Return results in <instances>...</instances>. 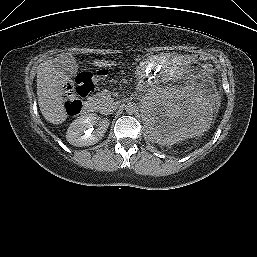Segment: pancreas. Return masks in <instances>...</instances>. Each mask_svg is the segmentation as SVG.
I'll use <instances>...</instances> for the list:
<instances>
[{
  "label": "pancreas",
  "mask_w": 257,
  "mask_h": 257,
  "mask_svg": "<svg viewBox=\"0 0 257 257\" xmlns=\"http://www.w3.org/2000/svg\"><path fill=\"white\" fill-rule=\"evenodd\" d=\"M110 100V96L107 92L97 93L93 97L90 98V103L96 109H102L103 106Z\"/></svg>",
  "instance_id": "obj_1"
}]
</instances>
